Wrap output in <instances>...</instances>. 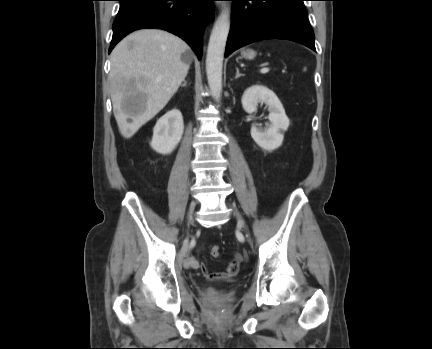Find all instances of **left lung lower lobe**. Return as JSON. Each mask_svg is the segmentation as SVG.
I'll use <instances>...</instances> for the list:
<instances>
[{
	"mask_svg": "<svg viewBox=\"0 0 432 349\" xmlns=\"http://www.w3.org/2000/svg\"><path fill=\"white\" fill-rule=\"evenodd\" d=\"M232 24L225 57L234 50L263 39H286L315 50L314 33L304 0H230Z\"/></svg>",
	"mask_w": 432,
	"mask_h": 349,
	"instance_id": "0a47b994",
	"label": "left lung lower lobe"
}]
</instances>
